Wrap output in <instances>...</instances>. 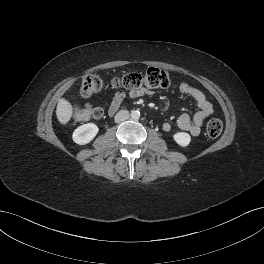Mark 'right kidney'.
Masks as SVG:
<instances>
[{"mask_svg": "<svg viewBox=\"0 0 264 264\" xmlns=\"http://www.w3.org/2000/svg\"><path fill=\"white\" fill-rule=\"evenodd\" d=\"M99 128L94 123H87L79 126L72 135L73 141L79 145H84L92 141L97 135Z\"/></svg>", "mask_w": 264, "mask_h": 264, "instance_id": "right-kidney-1", "label": "right kidney"}]
</instances>
